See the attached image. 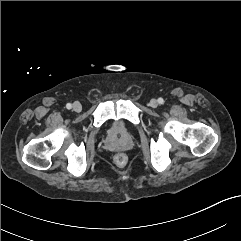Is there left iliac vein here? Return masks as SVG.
I'll list each match as a JSON object with an SVG mask.
<instances>
[{"label":"left iliac vein","instance_id":"left-iliac-vein-1","mask_svg":"<svg viewBox=\"0 0 241 241\" xmlns=\"http://www.w3.org/2000/svg\"><path fill=\"white\" fill-rule=\"evenodd\" d=\"M150 106L156 108L158 106V101L156 99H151Z\"/></svg>","mask_w":241,"mask_h":241}]
</instances>
